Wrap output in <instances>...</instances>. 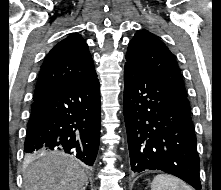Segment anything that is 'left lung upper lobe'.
Segmentation results:
<instances>
[{"mask_svg":"<svg viewBox=\"0 0 221 190\" xmlns=\"http://www.w3.org/2000/svg\"><path fill=\"white\" fill-rule=\"evenodd\" d=\"M127 63L145 69L187 97L184 82L173 54L154 34L138 30L128 45Z\"/></svg>","mask_w":221,"mask_h":190,"instance_id":"obj_1","label":"left lung upper lobe"}]
</instances>
